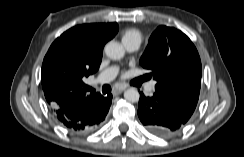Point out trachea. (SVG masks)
I'll list each match as a JSON object with an SVG mask.
<instances>
[{
	"label": "trachea",
	"mask_w": 244,
	"mask_h": 157,
	"mask_svg": "<svg viewBox=\"0 0 244 157\" xmlns=\"http://www.w3.org/2000/svg\"><path fill=\"white\" fill-rule=\"evenodd\" d=\"M92 93H94L95 92V90L93 89V88H88ZM111 91V87L110 86H108V85H104L103 87H102V92L104 93V94H106V93H108V92H110Z\"/></svg>",
	"instance_id": "obj_1"
}]
</instances>
